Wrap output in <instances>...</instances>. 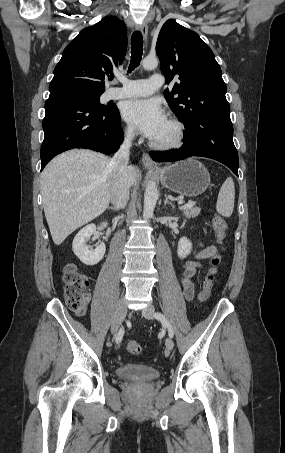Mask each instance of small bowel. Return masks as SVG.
I'll list each match as a JSON object with an SVG mask.
<instances>
[{
    "label": "small bowel",
    "mask_w": 285,
    "mask_h": 453,
    "mask_svg": "<svg viewBox=\"0 0 285 453\" xmlns=\"http://www.w3.org/2000/svg\"><path fill=\"white\" fill-rule=\"evenodd\" d=\"M194 255L193 259L184 263L181 267L180 283L182 286L183 294L186 300H192L195 294V285L193 277L197 270L201 267V261L214 256L217 253L215 246H202Z\"/></svg>",
    "instance_id": "c3829d8e"
}]
</instances>
